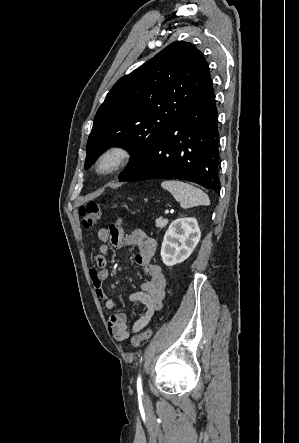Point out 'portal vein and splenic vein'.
I'll list each match as a JSON object with an SVG mask.
<instances>
[{"label": "portal vein and splenic vein", "instance_id": "obj_1", "mask_svg": "<svg viewBox=\"0 0 299 443\" xmlns=\"http://www.w3.org/2000/svg\"><path fill=\"white\" fill-rule=\"evenodd\" d=\"M169 213V210H165V214H168Z\"/></svg>", "mask_w": 299, "mask_h": 443}]
</instances>
